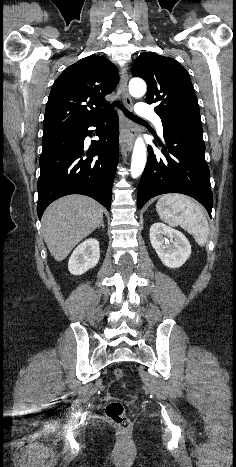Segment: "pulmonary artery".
Segmentation results:
<instances>
[{"mask_svg": "<svg viewBox=\"0 0 236 467\" xmlns=\"http://www.w3.org/2000/svg\"><path fill=\"white\" fill-rule=\"evenodd\" d=\"M136 112L143 118L150 119L154 122L157 131L163 134V125L160 117L156 114L153 107L145 102H140L137 106Z\"/></svg>", "mask_w": 236, "mask_h": 467, "instance_id": "e3ab8cb5", "label": "pulmonary artery"}]
</instances>
